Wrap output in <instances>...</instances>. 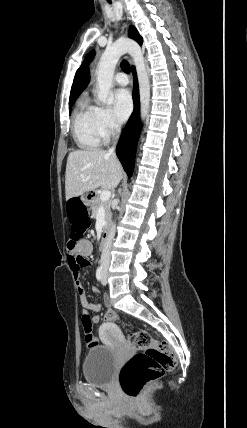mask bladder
Instances as JSON below:
<instances>
[{"label": "bladder", "instance_id": "obj_1", "mask_svg": "<svg viewBox=\"0 0 247 428\" xmlns=\"http://www.w3.org/2000/svg\"><path fill=\"white\" fill-rule=\"evenodd\" d=\"M118 367V356L108 346H94L88 350L83 363L84 379L94 386H109Z\"/></svg>", "mask_w": 247, "mask_h": 428}]
</instances>
